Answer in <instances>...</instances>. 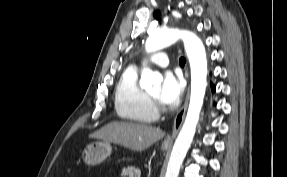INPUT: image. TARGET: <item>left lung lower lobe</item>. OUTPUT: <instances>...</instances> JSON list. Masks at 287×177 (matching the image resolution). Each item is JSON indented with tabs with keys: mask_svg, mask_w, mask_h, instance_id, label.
<instances>
[{
	"mask_svg": "<svg viewBox=\"0 0 287 177\" xmlns=\"http://www.w3.org/2000/svg\"><path fill=\"white\" fill-rule=\"evenodd\" d=\"M212 91H215V86L211 84Z\"/></svg>",
	"mask_w": 287,
	"mask_h": 177,
	"instance_id": "obj_1",
	"label": "left lung lower lobe"
}]
</instances>
